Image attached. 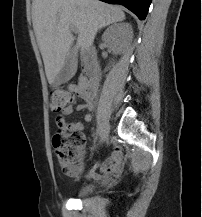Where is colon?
<instances>
[{"instance_id": "5ec220e1", "label": "colon", "mask_w": 202, "mask_h": 217, "mask_svg": "<svg viewBox=\"0 0 202 217\" xmlns=\"http://www.w3.org/2000/svg\"><path fill=\"white\" fill-rule=\"evenodd\" d=\"M74 94L63 89H54L50 93V109L59 114L71 107ZM57 130L53 135V147L62 172L74 177L82 170V154L86 144L84 134L71 127L70 123L58 120Z\"/></svg>"}]
</instances>
